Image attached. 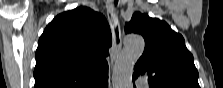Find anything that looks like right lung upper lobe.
Masks as SVG:
<instances>
[{
    "instance_id": "1",
    "label": "right lung upper lobe",
    "mask_w": 223,
    "mask_h": 88,
    "mask_svg": "<svg viewBox=\"0 0 223 88\" xmlns=\"http://www.w3.org/2000/svg\"><path fill=\"white\" fill-rule=\"evenodd\" d=\"M112 45L105 17L88 7L56 16L36 50L35 88H94L108 77L106 56Z\"/></svg>"
}]
</instances>
